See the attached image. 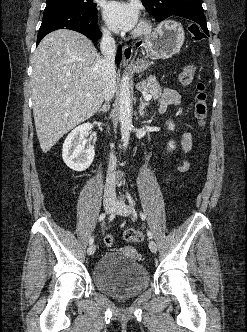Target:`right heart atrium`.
I'll use <instances>...</instances> for the list:
<instances>
[{
	"label": "right heart atrium",
	"instance_id": "right-heart-atrium-1",
	"mask_svg": "<svg viewBox=\"0 0 247 332\" xmlns=\"http://www.w3.org/2000/svg\"><path fill=\"white\" fill-rule=\"evenodd\" d=\"M103 34H104V37L106 39H110L111 38V32L108 29L103 28Z\"/></svg>",
	"mask_w": 247,
	"mask_h": 332
}]
</instances>
